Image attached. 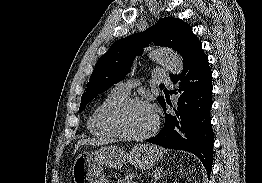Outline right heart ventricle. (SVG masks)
Listing matches in <instances>:
<instances>
[{"instance_id": "e07e8e85", "label": "right heart ventricle", "mask_w": 262, "mask_h": 183, "mask_svg": "<svg viewBox=\"0 0 262 183\" xmlns=\"http://www.w3.org/2000/svg\"><path fill=\"white\" fill-rule=\"evenodd\" d=\"M127 96L122 95L115 90L108 93L93 109L88 121L87 128L89 132L99 138H115V133L108 125L109 112Z\"/></svg>"}]
</instances>
